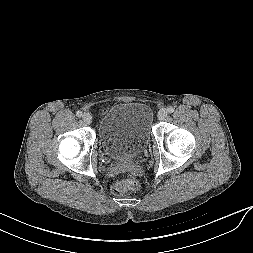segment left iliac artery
Wrapping results in <instances>:
<instances>
[{
	"mask_svg": "<svg viewBox=\"0 0 253 253\" xmlns=\"http://www.w3.org/2000/svg\"><path fill=\"white\" fill-rule=\"evenodd\" d=\"M167 111H168V113H173L174 112V107L173 106H169L167 108Z\"/></svg>",
	"mask_w": 253,
	"mask_h": 253,
	"instance_id": "obj_1",
	"label": "left iliac artery"
}]
</instances>
